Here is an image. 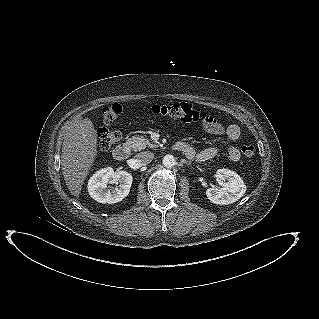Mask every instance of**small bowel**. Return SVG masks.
Segmentation results:
<instances>
[{"instance_id":"obj_1","label":"small bowel","mask_w":319,"mask_h":319,"mask_svg":"<svg viewBox=\"0 0 319 319\" xmlns=\"http://www.w3.org/2000/svg\"><path fill=\"white\" fill-rule=\"evenodd\" d=\"M204 129L208 133L222 135L227 138L231 143L237 142L241 137L240 128L231 124L228 126H223L216 119L209 117L204 122ZM186 148V156L189 159L194 160L197 163L205 162L210 160L221 153L223 149L226 150L227 156L230 161L237 162L241 158L240 150L233 144H229L227 146H212L203 150H198L190 144L181 143Z\"/></svg>"}]
</instances>
